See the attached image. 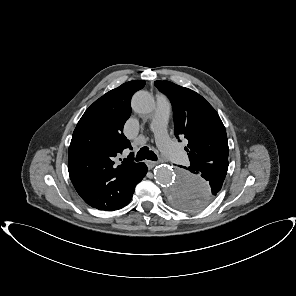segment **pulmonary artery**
<instances>
[{
  "label": "pulmonary artery",
  "mask_w": 296,
  "mask_h": 296,
  "mask_svg": "<svg viewBox=\"0 0 296 296\" xmlns=\"http://www.w3.org/2000/svg\"><path fill=\"white\" fill-rule=\"evenodd\" d=\"M170 111L169 99L163 94L157 95V106L150 123V130L154 133L163 154L172 161L182 163L186 159L185 153L169 139L166 132Z\"/></svg>",
  "instance_id": "pulmonary-artery-1"
}]
</instances>
